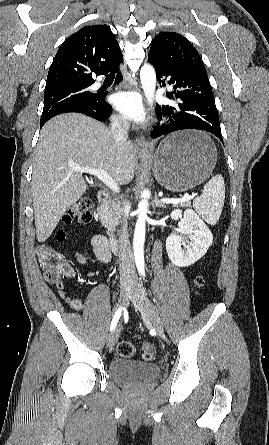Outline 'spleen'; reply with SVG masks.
Returning <instances> with one entry per match:
<instances>
[{
  "instance_id": "spleen-1",
  "label": "spleen",
  "mask_w": 269,
  "mask_h": 445,
  "mask_svg": "<svg viewBox=\"0 0 269 445\" xmlns=\"http://www.w3.org/2000/svg\"><path fill=\"white\" fill-rule=\"evenodd\" d=\"M225 184L221 174H216L204 185L200 197L193 201L196 212L210 225H215L222 213Z\"/></svg>"
}]
</instances>
